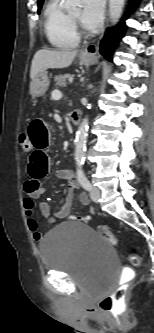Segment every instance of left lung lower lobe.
I'll list each match as a JSON object with an SVG mask.
<instances>
[{"mask_svg": "<svg viewBox=\"0 0 154 333\" xmlns=\"http://www.w3.org/2000/svg\"><path fill=\"white\" fill-rule=\"evenodd\" d=\"M124 29H125V23L121 22L115 28V30L113 29L107 30L100 44V52L106 59L111 60L113 48L117 44L119 38L123 35Z\"/></svg>", "mask_w": 154, "mask_h": 333, "instance_id": "left-lung-lower-lobe-1", "label": "left lung lower lobe"}]
</instances>
